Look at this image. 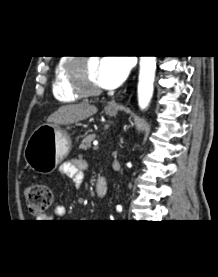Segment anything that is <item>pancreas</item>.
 Masks as SVG:
<instances>
[{
  "instance_id": "1",
  "label": "pancreas",
  "mask_w": 218,
  "mask_h": 277,
  "mask_svg": "<svg viewBox=\"0 0 218 277\" xmlns=\"http://www.w3.org/2000/svg\"><path fill=\"white\" fill-rule=\"evenodd\" d=\"M96 138L95 134H90L87 137H85L82 141L81 144L79 145V149L82 150H87L91 146V141H93Z\"/></svg>"
}]
</instances>
